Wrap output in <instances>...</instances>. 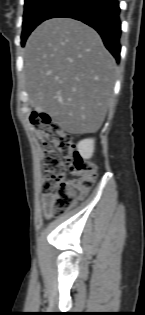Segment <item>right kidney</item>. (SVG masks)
<instances>
[{"instance_id":"right-kidney-1","label":"right kidney","mask_w":145,"mask_h":315,"mask_svg":"<svg viewBox=\"0 0 145 315\" xmlns=\"http://www.w3.org/2000/svg\"><path fill=\"white\" fill-rule=\"evenodd\" d=\"M77 149L84 159L91 158L94 152V139H84L80 141L77 145Z\"/></svg>"}]
</instances>
